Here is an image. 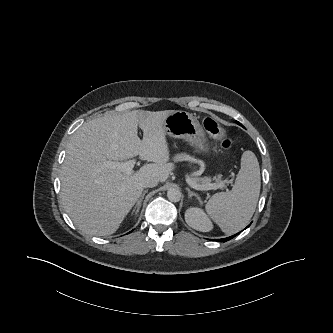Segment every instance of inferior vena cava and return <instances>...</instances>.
Wrapping results in <instances>:
<instances>
[{"label": "inferior vena cava", "instance_id": "obj_1", "mask_svg": "<svg viewBox=\"0 0 333 333\" xmlns=\"http://www.w3.org/2000/svg\"><path fill=\"white\" fill-rule=\"evenodd\" d=\"M159 180L157 178H148L144 181V187H155L157 186Z\"/></svg>", "mask_w": 333, "mask_h": 333}]
</instances>
